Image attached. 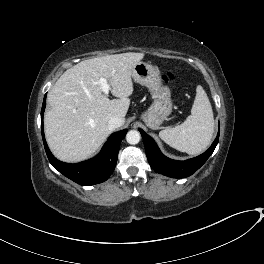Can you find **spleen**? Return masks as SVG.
Masks as SVG:
<instances>
[{
    "label": "spleen",
    "instance_id": "1",
    "mask_svg": "<svg viewBox=\"0 0 264 264\" xmlns=\"http://www.w3.org/2000/svg\"><path fill=\"white\" fill-rule=\"evenodd\" d=\"M213 133L214 117L211 103L203 87L198 85L191 115L181 125L160 131L159 137L178 151L197 155L208 147Z\"/></svg>",
    "mask_w": 264,
    "mask_h": 264
}]
</instances>
